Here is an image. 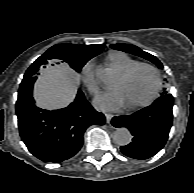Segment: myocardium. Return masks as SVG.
<instances>
[{
    "mask_svg": "<svg viewBox=\"0 0 194 193\" xmlns=\"http://www.w3.org/2000/svg\"><path fill=\"white\" fill-rule=\"evenodd\" d=\"M140 68H148L150 69L154 76H155V87L153 92L151 93V95L144 101L137 103V104H132V105H125L127 109L129 110H135V109H139L145 106H148L149 104H151L155 98L158 96L160 90H161V86H162V79H161V75L159 70L152 64L149 63H143V62H139L135 65H133L132 67H130L129 69H127L126 71L121 73V77L123 79H127L129 78L136 70L140 69Z\"/></svg>",
    "mask_w": 194,
    "mask_h": 193,
    "instance_id": "1",
    "label": "myocardium"
}]
</instances>
